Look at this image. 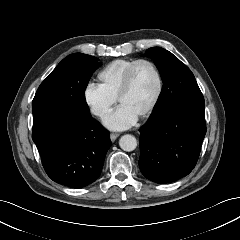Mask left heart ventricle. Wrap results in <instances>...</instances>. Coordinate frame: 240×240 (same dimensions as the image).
Here are the masks:
<instances>
[{"label": "left heart ventricle", "instance_id": "obj_1", "mask_svg": "<svg viewBox=\"0 0 240 240\" xmlns=\"http://www.w3.org/2000/svg\"><path fill=\"white\" fill-rule=\"evenodd\" d=\"M156 90L157 79L154 71L148 64H139L133 71L131 88L120 104L139 117L152 102Z\"/></svg>", "mask_w": 240, "mask_h": 240}]
</instances>
